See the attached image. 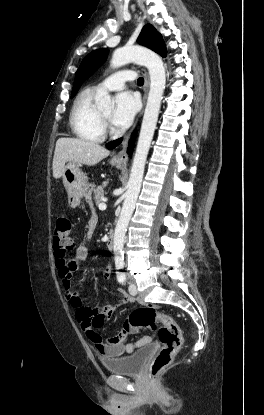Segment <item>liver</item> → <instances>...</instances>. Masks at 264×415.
I'll use <instances>...</instances> for the list:
<instances>
[{
    "label": "liver",
    "instance_id": "liver-1",
    "mask_svg": "<svg viewBox=\"0 0 264 415\" xmlns=\"http://www.w3.org/2000/svg\"><path fill=\"white\" fill-rule=\"evenodd\" d=\"M109 154L108 149L91 141L59 138L56 142L53 158V177L58 179L63 175L67 162L93 166L108 157Z\"/></svg>",
    "mask_w": 264,
    "mask_h": 415
}]
</instances>
